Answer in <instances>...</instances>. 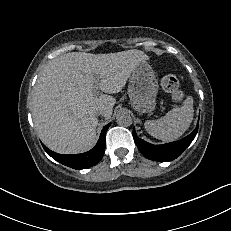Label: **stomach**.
Instances as JSON below:
<instances>
[{
  "label": "stomach",
  "instance_id": "obj_1",
  "mask_svg": "<svg viewBox=\"0 0 231 231\" xmlns=\"http://www.w3.org/2000/svg\"><path fill=\"white\" fill-rule=\"evenodd\" d=\"M158 81L152 67L140 63L131 73L128 85V96L131 106L138 113H150L156 106Z\"/></svg>",
  "mask_w": 231,
  "mask_h": 231
}]
</instances>
